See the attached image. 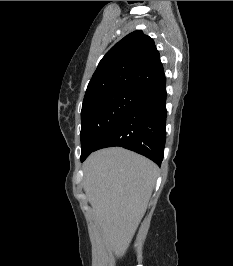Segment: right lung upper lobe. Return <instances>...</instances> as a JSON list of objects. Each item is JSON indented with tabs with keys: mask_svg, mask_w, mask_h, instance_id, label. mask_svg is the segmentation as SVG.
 I'll return each mask as SVG.
<instances>
[{
	"mask_svg": "<svg viewBox=\"0 0 233 266\" xmlns=\"http://www.w3.org/2000/svg\"><path fill=\"white\" fill-rule=\"evenodd\" d=\"M164 79L154 41L137 30L116 43L101 59L88 84L84 101L119 90L146 92Z\"/></svg>",
	"mask_w": 233,
	"mask_h": 266,
	"instance_id": "obj_1",
	"label": "right lung upper lobe"
}]
</instances>
